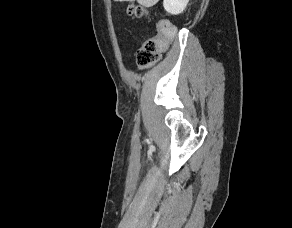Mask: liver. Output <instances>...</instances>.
Masks as SVG:
<instances>
[{"instance_id": "6515ba94", "label": "liver", "mask_w": 292, "mask_h": 228, "mask_svg": "<svg viewBox=\"0 0 292 228\" xmlns=\"http://www.w3.org/2000/svg\"><path fill=\"white\" fill-rule=\"evenodd\" d=\"M115 1H135V0H115ZM139 4L145 6V7H151L155 5L159 0H136Z\"/></svg>"}]
</instances>
